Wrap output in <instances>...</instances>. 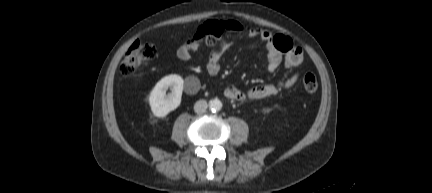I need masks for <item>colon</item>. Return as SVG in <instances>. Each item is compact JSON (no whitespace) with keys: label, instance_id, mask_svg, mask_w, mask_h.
Wrapping results in <instances>:
<instances>
[{"label":"colon","instance_id":"5ec220e1","mask_svg":"<svg viewBox=\"0 0 432 193\" xmlns=\"http://www.w3.org/2000/svg\"><path fill=\"white\" fill-rule=\"evenodd\" d=\"M222 28L216 25H211L200 34L198 40L205 42L208 45L217 43L223 35ZM157 57V49L154 44L142 40L135 41L126 52L121 64L120 72L123 75L133 74L140 66L149 64ZM304 89L313 93L318 88V81L313 73H307L302 79Z\"/></svg>","mask_w":432,"mask_h":193}]
</instances>
